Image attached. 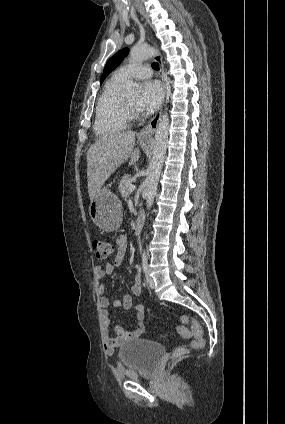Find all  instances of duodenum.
Instances as JSON below:
<instances>
[{
	"label": "duodenum",
	"mask_w": 285,
	"mask_h": 424,
	"mask_svg": "<svg viewBox=\"0 0 285 424\" xmlns=\"http://www.w3.org/2000/svg\"><path fill=\"white\" fill-rule=\"evenodd\" d=\"M143 220H144L143 215H140V216L138 217L137 221H136L135 229H134V232H135V235H136V236H140V235H141V232H142V226H143Z\"/></svg>",
	"instance_id": "410a0bca"
}]
</instances>
